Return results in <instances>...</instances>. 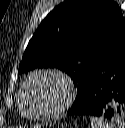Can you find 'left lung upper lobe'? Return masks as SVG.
<instances>
[{
	"label": "left lung upper lobe",
	"mask_w": 125,
	"mask_h": 128,
	"mask_svg": "<svg viewBox=\"0 0 125 128\" xmlns=\"http://www.w3.org/2000/svg\"><path fill=\"white\" fill-rule=\"evenodd\" d=\"M124 30L125 18L114 0H67L34 33L19 73L48 67L66 72L77 87L76 103L89 74Z\"/></svg>",
	"instance_id": "1"
}]
</instances>
